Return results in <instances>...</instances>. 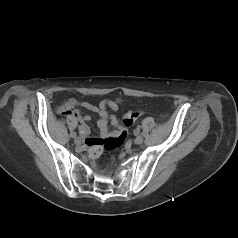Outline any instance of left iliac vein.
<instances>
[{"label":"left iliac vein","mask_w":238,"mask_h":238,"mask_svg":"<svg viewBox=\"0 0 238 238\" xmlns=\"http://www.w3.org/2000/svg\"><path fill=\"white\" fill-rule=\"evenodd\" d=\"M142 142H143V137L140 135L134 139L135 144H141Z\"/></svg>","instance_id":"left-iliac-vein-1"}]
</instances>
